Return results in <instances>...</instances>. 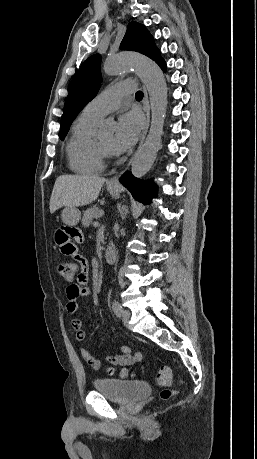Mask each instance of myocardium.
I'll use <instances>...</instances> for the list:
<instances>
[{"instance_id":"myocardium-1","label":"myocardium","mask_w":257,"mask_h":459,"mask_svg":"<svg viewBox=\"0 0 257 459\" xmlns=\"http://www.w3.org/2000/svg\"><path fill=\"white\" fill-rule=\"evenodd\" d=\"M97 146L103 158H109L113 155L112 149L105 147L99 140H97Z\"/></svg>"}]
</instances>
